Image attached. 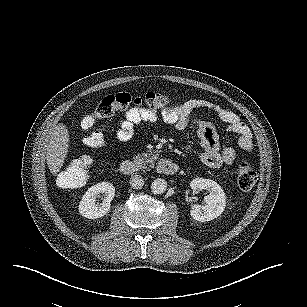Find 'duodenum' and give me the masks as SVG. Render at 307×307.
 Returning <instances> with one entry per match:
<instances>
[{
  "instance_id": "obj_1",
  "label": "duodenum",
  "mask_w": 307,
  "mask_h": 307,
  "mask_svg": "<svg viewBox=\"0 0 307 307\" xmlns=\"http://www.w3.org/2000/svg\"><path fill=\"white\" fill-rule=\"evenodd\" d=\"M179 167L178 165L167 159H162L157 164V172L163 175H174L177 173ZM120 171L122 174L130 176L135 172V165L131 160H124L120 164Z\"/></svg>"
}]
</instances>
